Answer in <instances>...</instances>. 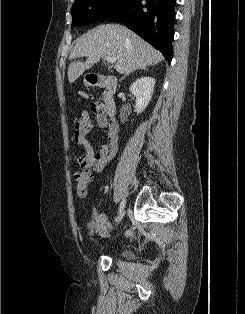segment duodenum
Wrapping results in <instances>:
<instances>
[{
	"instance_id": "obj_1",
	"label": "duodenum",
	"mask_w": 245,
	"mask_h": 314,
	"mask_svg": "<svg viewBox=\"0 0 245 314\" xmlns=\"http://www.w3.org/2000/svg\"><path fill=\"white\" fill-rule=\"evenodd\" d=\"M91 84L94 87H100L105 89V100L102 105L105 116L115 123L117 104L114 99V95L117 89L116 78L112 75H94L91 77Z\"/></svg>"
}]
</instances>
